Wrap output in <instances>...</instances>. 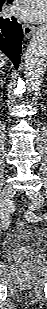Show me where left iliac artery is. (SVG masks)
I'll return each mask as SVG.
<instances>
[{
    "mask_svg": "<svg viewBox=\"0 0 47 309\" xmlns=\"http://www.w3.org/2000/svg\"><path fill=\"white\" fill-rule=\"evenodd\" d=\"M41 219V217L36 216L35 214H31V220L33 221H39ZM46 219V217H45Z\"/></svg>",
    "mask_w": 47,
    "mask_h": 309,
    "instance_id": "left-iliac-artery-1",
    "label": "left iliac artery"
}]
</instances>
